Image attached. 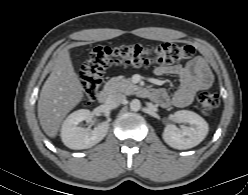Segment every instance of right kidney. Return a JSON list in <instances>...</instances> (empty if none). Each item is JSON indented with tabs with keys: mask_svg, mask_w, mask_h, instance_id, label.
Wrapping results in <instances>:
<instances>
[{
	"mask_svg": "<svg viewBox=\"0 0 248 195\" xmlns=\"http://www.w3.org/2000/svg\"><path fill=\"white\" fill-rule=\"evenodd\" d=\"M92 113L87 109H80L71 113L63 122L61 128V139L68 148L81 150L88 149L104 139L109 123L102 122L93 130L79 127L82 121H92Z\"/></svg>",
	"mask_w": 248,
	"mask_h": 195,
	"instance_id": "obj_1",
	"label": "right kidney"
}]
</instances>
